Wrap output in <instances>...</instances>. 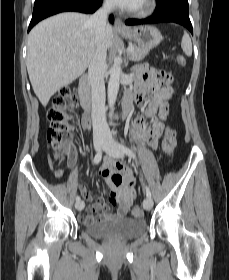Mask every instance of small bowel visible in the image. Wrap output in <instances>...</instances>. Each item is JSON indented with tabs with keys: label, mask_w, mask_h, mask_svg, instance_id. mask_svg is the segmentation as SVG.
I'll list each match as a JSON object with an SVG mask.
<instances>
[{
	"label": "small bowel",
	"mask_w": 229,
	"mask_h": 280,
	"mask_svg": "<svg viewBox=\"0 0 229 280\" xmlns=\"http://www.w3.org/2000/svg\"><path fill=\"white\" fill-rule=\"evenodd\" d=\"M130 94L132 93L128 92L126 95ZM172 94V87L159 83L154 74L145 65L137 67L133 97L147 117L157 113L159 118H166L169 114L168 100ZM162 127L161 120H153L149 123L146 118L139 117L133 123L131 135L135 141H143L150 147L155 148ZM74 156L75 152L72 150L71 157L74 158ZM115 168L119 170V173L115 172ZM99 172L106 181L108 190L116 194L117 200L113 205H117V210L115 213H112L109 206L103 200H93L87 186L82 184L80 185V193L88 202L83 208L87 214L79 215L80 221L84 224L125 217L129 213L135 197L134 171L126 166L123 161L108 157L101 165ZM114 174H120L124 177L122 184L115 185L113 183L112 177ZM97 212H101L102 215L93 216Z\"/></svg>",
	"instance_id": "c3829d8e"
}]
</instances>
